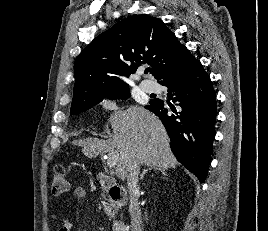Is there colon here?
I'll list each match as a JSON object with an SVG mask.
<instances>
[{"label":"colon","instance_id":"1","mask_svg":"<svg viewBox=\"0 0 268 231\" xmlns=\"http://www.w3.org/2000/svg\"><path fill=\"white\" fill-rule=\"evenodd\" d=\"M69 191V181L62 166L55 168L51 182V193L54 196H62Z\"/></svg>","mask_w":268,"mask_h":231}]
</instances>
